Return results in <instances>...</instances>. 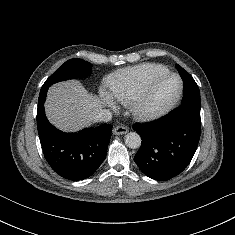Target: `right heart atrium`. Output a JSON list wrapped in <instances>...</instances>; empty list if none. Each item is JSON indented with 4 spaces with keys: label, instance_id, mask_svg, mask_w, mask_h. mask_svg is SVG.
Wrapping results in <instances>:
<instances>
[{
    "label": "right heart atrium",
    "instance_id": "right-heart-atrium-1",
    "mask_svg": "<svg viewBox=\"0 0 235 235\" xmlns=\"http://www.w3.org/2000/svg\"><path fill=\"white\" fill-rule=\"evenodd\" d=\"M104 100L108 105H110L111 107H114L113 102L111 101V99L108 96L104 95Z\"/></svg>",
    "mask_w": 235,
    "mask_h": 235
}]
</instances>
